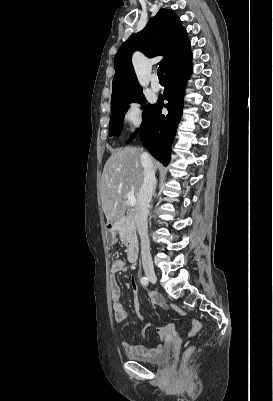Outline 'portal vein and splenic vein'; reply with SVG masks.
Wrapping results in <instances>:
<instances>
[{"instance_id":"portal-vein-and-splenic-vein-1","label":"portal vein and splenic vein","mask_w":273,"mask_h":401,"mask_svg":"<svg viewBox=\"0 0 273 401\" xmlns=\"http://www.w3.org/2000/svg\"><path fill=\"white\" fill-rule=\"evenodd\" d=\"M127 198H128L130 207H135L136 198H135L134 192H132V190H130V192H127Z\"/></svg>"}]
</instances>
